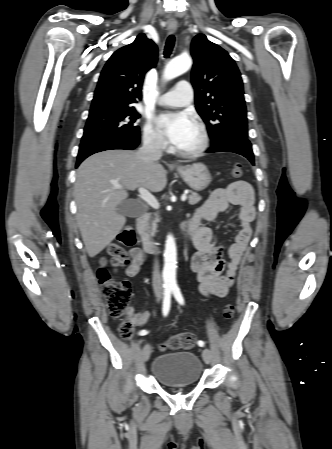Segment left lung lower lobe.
<instances>
[{
  "label": "left lung lower lobe",
  "instance_id": "obj_1",
  "mask_svg": "<svg viewBox=\"0 0 332 449\" xmlns=\"http://www.w3.org/2000/svg\"><path fill=\"white\" fill-rule=\"evenodd\" d=\"M207 152H234L248 158L250 162L254 164L252 145L248 138L243 136L226 138L219 143L212 145Z\"/></svg>",
  "mask_w": 332,
  "mask_h": 449
}]
</instances>
